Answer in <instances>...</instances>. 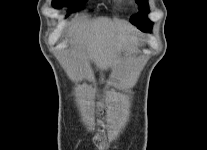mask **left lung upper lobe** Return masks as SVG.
I'll return each mask as SVG.
<instances>
[{"label": "left lung upper lobe", "instance_id": "1", "mask_svg": "<svg viewBox=\"0 0 207 150\" xmlns=\"http://www.w3.org/2000/svg\"><path fill=\"white\" fill-rule=\"evenodd\" d=\"M136 2L139 5L140 12L137 14V16L131 17L130 21L133 24L137 25V27L141 29L142 31H144L145 29L151 30L152 22H150L146 18V14L149 12L148 1L147 0H136Z\"/></svg>", "mask_w": 207, "mask_h": 150}]
</instances>
